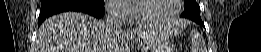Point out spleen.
<instances>
[{
    "mask_svg": "<svg viewBox=\"0 0 261 52\" xmlns=\"http://www.w3.org/2000/svg\"><path fill=\"white\" fill-rule=\"evenodd\" d=\"M191 34H192V35H193V34H197V35H198V32H196L195 30H193Z\"/></svg>",
    "mask_w": 261,
    "mask_h": 52,
    "instance_id": "3e777b00",
    "label": "spleen"
}]
</instances>
